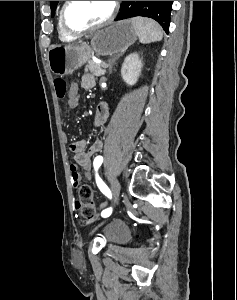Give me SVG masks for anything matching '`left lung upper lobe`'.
I'll return each mask as SVG.
<instances>
[{"instance_id": "1", "label": "left lung upper lobe", "mask_w": 237, "mask_h": 300, "mask_svg": "<svg viewBox=\"0 0 237 300\" xmlns=\"http://www.w3.org/2000/svg\"><path fill=\"white\" fill-rule=\"evenodd\" d=\"M165 1H122L120 13L116 20H122L134 16L149 17L163 27L168 33L170 13L172 6L165 5ZM58 1H50L52 16L54 15Z\"/></svg>"}]
</instances>
